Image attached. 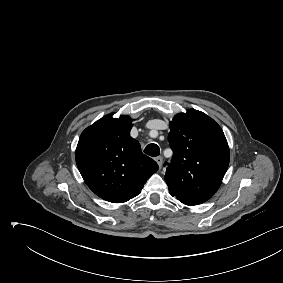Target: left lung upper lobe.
<instances>
[{
  "instance_id": "5c2ea615",
  "label": "left lung upper lobe",
  "mask_w": 283,
  "mask_h": 283,
  "mask_svg": "<svg viewBox=\"0 0 283 283\" xmlns=\"http://www.w3.org/2000/svg\"><path fill=\"white\" fill-rule=\"evenodd\" d=\"M168 141L173 157L165 181L171 196L188 206L206 202L220 187L229 165L223 130L203 112L189 109L170 122Z\"/></svg>"
}]
</instances>
